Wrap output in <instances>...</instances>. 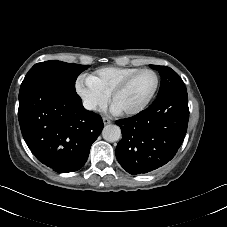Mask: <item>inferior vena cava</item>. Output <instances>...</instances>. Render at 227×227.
I'll return each mask as SVG.
<instances>
[{
    "label": "inferior vena cava",
    "mask_w": 227,
    "mask_h": 227,
    "mask_svg": "<svg viewBox=\"0 0 227 227\" xmlns=\"http://www.w3.org/2000/svg\"><path fill=\"white\" fill-rule=\"evenodd\" d=\"M83 105L87 110H94L96 108V105L90 101H84Z\"/></svg>",
    "instance_id": "obj_1"
}]
</instances>
